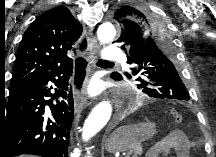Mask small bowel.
I'll return each instance as SVG.
<instances>
[{
    "instance_id": "1",
    "label": "small bowel",
    "mask_w": 216,
    "mask_h": 157,
    "mask_svg": "<svg viewBox=\"0 0 216 157\" xmlns=\"http://www.w3.org/2000/svg\"><path fill=\"white\" fill-rule=\"evenodd\" d=\"M196 146L197 144L185 132L176 130L169 134L159 154L174 151L178 157H191V152Z\"/></svg>"
}]
</instances>
